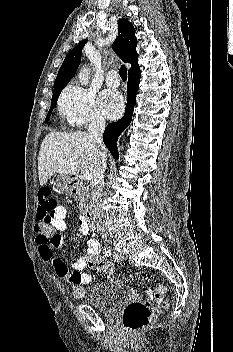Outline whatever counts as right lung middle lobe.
<instances>
[{
    "label": "right lung middle lobe",
    "instance_id": "right-lung-middle-lobe-1",
    "mask_svg": "<svg viewBox=\"0 0 233 352\" xmlns=\"http://www.w3.org/2000/svg\"><path fill=\"white\" fill-rule=\"evenodd\" d=\"M62 89H63V87L62 88H58V89H54L52 100H51V107H50L49 112H48V114L46 116V120H48L49 117L51 116V113H52L54 107L57 104V99H58Z\"/></svg>",
    "mask_w": 233,
    "mask_h": 352
}]
</instances>
